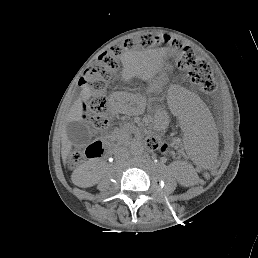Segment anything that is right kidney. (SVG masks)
I'll list each match as a JSON object with an SVG mask.
<instances>
[{
  "instance_id": "1",
  "label": "right kidney",
  "mask_w": 258,
  "mask_h": 258,
  "mask_svg": "<svg viewBox=\"0 0 258 258\" xmlns=\"http://www.w3.org/2000/svg\"><path fill=\"white\" fill-rule=\"evenodd\" d=\"M72 180L76 185L87 187L95 184L97 178L89 171L88 167L84 166L73 173ZM83 183H86L87 185L83 186Z\"/></svg>"
}]
</instances>
